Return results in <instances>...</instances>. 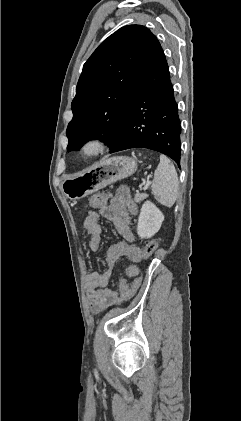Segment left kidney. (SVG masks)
Wrapping results in <instances>:
<instances>
[{
    "label": "left kidney",
    "instance_id": "1",
    "mask_svg": "<svg viewBox=\"0 0 241 421\" xmlns=\"http://www.w3.org/2000/svg\"><path fill=\"white\" fill-rule=\"evenodd\" d=\"M164 220L162 212L150 201H146L140 211L137 225V234L142 238H151L155 235Z\"/></svg>",
    "mask_w": 241,
    "mask_h": 421
}]
</instances>
